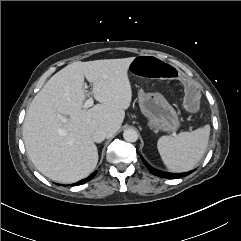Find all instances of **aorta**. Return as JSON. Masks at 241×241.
<instances>
[{
    "instance_id": "1",
    "label": "aorta",
    "mask_w": 241,
    "mask_h": 241,
    "mask_svg": "<svg viewBox=\"0 0 241 241\" xmlns=\"http://www.w3.org/2000/svg\"><path fill=\"white\" fill-rule=\"evenodd\" d=\"M123 138L127 142H136L138 140V134L133 129H127L123 132Z\"/></svg>"
}]
</instances>
